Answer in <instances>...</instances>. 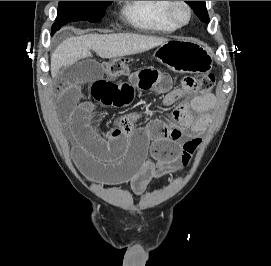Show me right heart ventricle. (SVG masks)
<instances>
[{
    "label": "right heart ventricle",
    "mask_w": 271,
    "mask_h": 266,
    "mask_svg": "<svg viewBox=\"0 0 271 266\" xmlns=\"http://www.w3.org/2000/svg\"><path fill=\"white\" fill-rule=\"evenodd\" d=\"M168 4L169 1H125L122 12L136 28L173 32L178 26L168 15Z\"/></svg>",
    "instance_id": "e07e8e85"
}]
</instances>
